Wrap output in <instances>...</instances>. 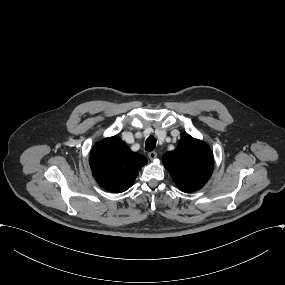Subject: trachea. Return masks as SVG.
<instances>
[{"instance_id": "trachea-1", "label": "trachea", "mask_w": 285, "mask_h": 285, "mask_svg": "<svg viewBox=\"0 0 285 285\" xmlns=\"http://www.w3.org/2000/svg\"><path fill=\"white\" fill-rule=\"evenodd\" d=\"M156 147V138L153 136H150L147 138L145 143V150L146 151H153Z\"/></svg>"}]
</instances>
